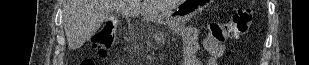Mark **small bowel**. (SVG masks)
<instances>
[{
    "mask_svg": "<svg viewBox=\"0 0 309 65\" xmlns=\"http://www.w3.org/2000/svg\"><path fill=\"white\" fill-rule=\"evenodd\" d=\"M185 50L184 65H217L226 53V45L209 37L200 38L194 28L187 27L183 36ZM208 51L207 56H198L200 47Z\"/></svg>",
    "mask_w": 309,
    "mask_h": 65,
    "instance_id": "small-bowel-1",
    "label": "small bowel"
}]
</instances>
